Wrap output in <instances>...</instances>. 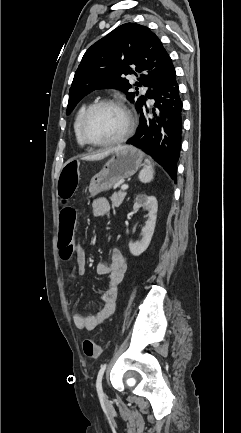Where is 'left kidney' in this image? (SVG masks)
I'll return each mask as SVG.
<instances>
[{"label":"left kidney","mask_w":241,"mask_h":433,"mask_svg":"<svg viewBox=\"0 0 241 433\" xmlns=\"http://www.w3.org/2000/svg\"><path fill=\"white\" fill-rule=\"evenodd\" d=\"M141 207L148 209L149 213L148 220L142 228L141 239L134 243H129L130 253L134 256L141 255L148 248L151 242L157 218L158 203L156 198L144 194L138 195L135 199L133 208L134 210H138Z\"/></svg>","instance_id":"5707ae66"}]
</instances>
